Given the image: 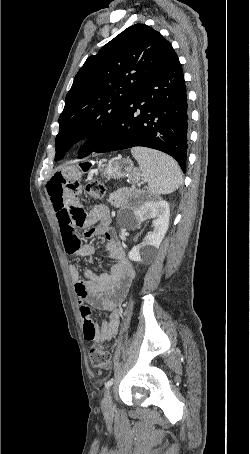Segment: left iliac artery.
<instances>
[{
    "mask_svg": "<svg viewBox=\"0 0 250 454\" xmlns=\"http://www.w3.org/2000/svg\"><path fill=\"white\" fill-rule=\"evenodd\" d=\"M113 384V379H110L108 380L106 383H105V388L108 389L109 387H111Z\"/></svg>",
    "mask_w": 250,
    "mask_h": 454,
    "instance_id": "44dca946",
    "label": "left iliac artery"
}]
</instances>
